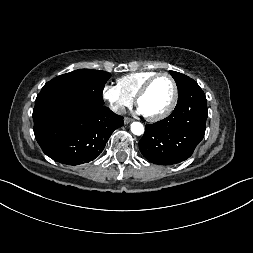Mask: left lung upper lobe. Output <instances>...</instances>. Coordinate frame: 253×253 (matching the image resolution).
Segmentation results:
<instances>
[{
    "label": "left lung upper lobe",
    "instance_id": "5c2ea615",
    "mask_svg": "<svg viewBox=\"0 0 253 253\" xmlns=\"http://www.w3.org/2000/svg\"><path fill=\"white\" fill-rule=\"evenodd\" d=\"M170 73L176 81L179 96L184 93L192 84L196 83L193 79L184 74L175 71H171Z\"/></svg>",
    "mask_w": 253,
    "mask_h": 253
}]
</instances>
